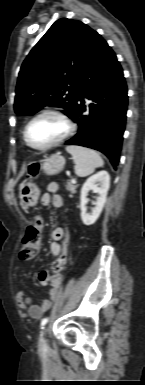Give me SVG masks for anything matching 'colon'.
I'll return each mask as SVG.
<instances>
[{
	"mask_svg": "<svg viewBox=\"0 0 145 385\" xmlns=\"http://www.w3.org/2000/svg\"><path fill=\"white\" fill-rule=\"evenodd\" d=\"M40 165L33 162L28 166L27 176L34 178L38 175ZM43 226V219L37 215L32 225L28 226L22 240V248L20 250V259L23 261H30L37 255L40 245V233ZM65 266V257L62 256L53 265V271L56 273L62 272Z\"/></svg>",
	"mask_w": 145,
	"mask_h": 385,
	"instance_id": "obj_1",
	"label": "colon"
}]
</instances>
